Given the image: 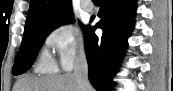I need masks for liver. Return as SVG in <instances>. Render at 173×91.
<instances>
[{
	"instance_id": "6515ba94",
	"label": "liver",
	"mask_w": 173,
	"mask_h": 91,
	"mask_svg": "<svg viewBox=\"0 0 173 91\" xmlns=\"http://www.w3.org/2000/svg\"><path fill=\"white\" fill-rule=\"evenodd\" d=\"M13 91H79L73 74L60 76H23L14 85ZM88 91H94L90 85Z\"/></svg>"
}]
</instances>
